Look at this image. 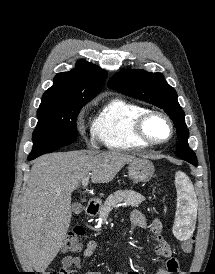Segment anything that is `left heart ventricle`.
Here are the masks:
<instances>
[{
    "label": "left heart ventricle",
    "instance_id": "1",
    "mask_svg": "<svg viewBox=\"0 0 215 274\" xmlns=\"http://www.w3.org/2000/svg\"><path fill=\"white\" fill-rule=\"evenodd\" d=\"M146 129L149 136L157 141L164 140L169 136V126L161 117H152L147 123Z\"/></svg>",
    "mask_w": 215,
    "mask_h": 274
}]
</instances>
